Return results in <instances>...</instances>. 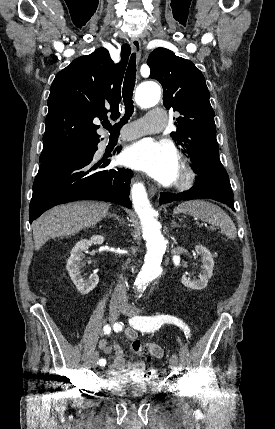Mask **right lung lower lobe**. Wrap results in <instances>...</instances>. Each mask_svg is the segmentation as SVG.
Segmentation results:
<instances>
[{"mask_svg":"<svg viewBox=\"0 0 275 429\" xmlns=\"http://www.w3.org/2000/svg\"><path fill=\"white\" fill-rule=\"evenodd\" d=\"M117 149L120 151L121 147ZM96 150L89 155L40 165L29 207L30 223L46 210L76 200H102L132 207L129 199L132 171L104 169L110 161L93 162Z\"/></svg>","mask_w":275,"mask_h":429,"instance_id":"right-lung-lower-lobe-1","label":"right lung lower lobe"}]
</instances>
